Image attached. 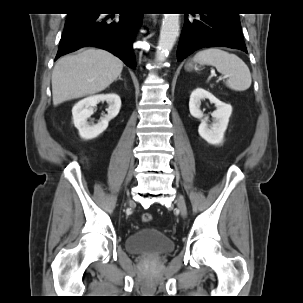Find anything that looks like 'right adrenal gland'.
Returning a JSON list of instances; mask_svg holds the SVG:
<instances>
[{"label":"right adrenal gland","instance_id":"2a0ac1e0","mask_svg":"<svg viewBox=\"0 0 303 303\" xmlns=\"http://www.w3.org/2000/svg\"><path fill=\"white\" fill-rule=\"evenodd\" d=\"M118 80H122L121 75L118 77Z\"/></svg>","mask_w":303,"mask_h":303}]
</instances>
